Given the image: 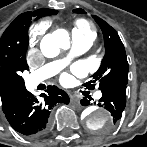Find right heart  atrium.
Returning a JSON list of instances; mask_svg holds the SVG:
<instances>
[{
  "mask_svg": "<svg viewBox=\"0 0 147 147\" xmlns=\"http://www.w3.org/2000/svg\"><path fill=\"white\" fill-rule=\"evenodd\" d=\"M41 34H42V31L38 27L33 28L32 31H31V37L35 41L39 40V38L41 37Z\"/></svg>",
  "mask_w": 147,
  "mask_h": 147,
  "instance_id": "right-heart-atrium-1",
  "label": "right heart atrium"
}]
</instances>
